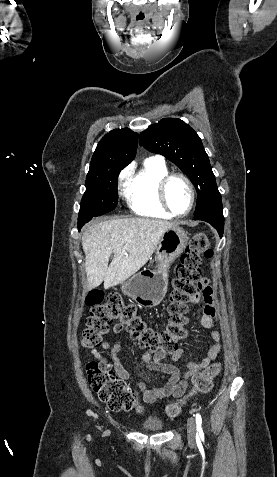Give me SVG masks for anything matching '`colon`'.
I'll use <instances>...</instances> for the list:
<instances>
[{
  "instance_id": "colon-1",
  "label": "colon",
  "mask_w": 277,
  "mask_h": 477,
  "mask_svg": "<svg viewBox=\"0 0 277 477\" xmlns=\"http://www.w3.org/2000/svg\"><path fill=\"white\" fill-rule=\"evenodd\" d=\"M210 238L205 233L193 235L182 254L173 279V289L167 308L169 321L162 329L150 326L138 314L136 307L125 304L120 296L111 294L104 297L101 290L91 291L85 299L90 309L85 320L86 327L81 332L80 341L86 348L101 345L114 321L129 333L140 347L152 352L173 353L178 342L186 337L185 325L189 303L198 296L202 287V257L211 258ZM221 371V364L214 363L193 377V388L181 400L166 406V413L174 418L181 412L183 404L195 394L206 393L212 388L213 378ZM88 382L99 399L115 411L139 410L140 404L133 390L125 385L108 363L91 361L86 365Z\"/></svg>"
}]
</instances>
